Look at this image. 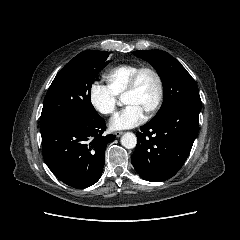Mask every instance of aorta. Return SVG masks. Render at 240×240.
<instances>
[{
	"label": "aorta",
	"instance_id": "762f6f07",
	"mask_svg": "<svg viewBox=\"0 0 240 240\" xmlns=\"http://www.w3.org/2000/svg\"><path fill=\"white\" fill-rule=\"evenodd\" d=\"M122 102H123V100H122ZM121 144L127 149L134 148L137 144L136 135L132 132L124 133L123 136L121 137Z\"/></svg>",
	"mask_w": 240,
	"mask_h": 240
}]
</instances>
